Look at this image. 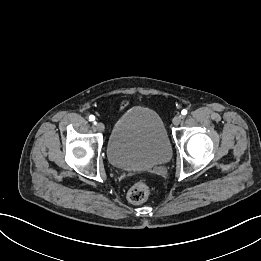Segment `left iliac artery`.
Returning a JSON list of instances; mask_svg holds the SVG:
<instances>
[{
    "instance_id": "1",
    "label": "left iliac artery",
    "mask_w": 261,
    "mask_h": 261,
    "mask_svg": "<svg viewBox=\"0 0 261 261\" xmlns=\"http://www.w3.org/2000/svg\"><path fill=\"white\" fill-rule=\"evenodd\" d=\"M181 114H182L183 116H185V115L187 114V110H186V109H183V110L181 111Z\"/></svg>"
}]
</instances>
